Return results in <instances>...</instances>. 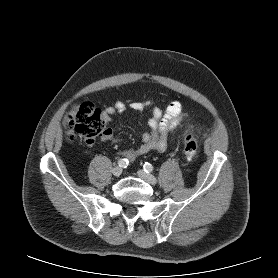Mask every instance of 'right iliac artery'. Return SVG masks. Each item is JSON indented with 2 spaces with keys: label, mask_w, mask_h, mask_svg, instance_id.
<instances>
[{
  "label": "right iliac artery",
  "mask_w": 278,
  "mask_h": 278,
  "mask_svg": "<svg viewBox=\"0 0 278 278\" xmlns=\"http://www.w3.org/2000/svg\"><path fill=\"white\" fill-rule=\"evenodd\" d=\"M128 163H129V161H128V159H126V158L120 159V160L118 161L119 167H123V168H126L127 165H128Z\"/></svg>",
  "instance_id": "right-iliac-artery-1"
}]
</instances>
